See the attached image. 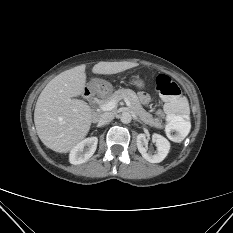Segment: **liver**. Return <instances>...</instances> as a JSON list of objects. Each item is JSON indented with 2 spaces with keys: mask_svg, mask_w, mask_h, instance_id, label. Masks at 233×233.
Here are the masks:
<instances>
[{
  "mask_svg": "<svg viewBox=\"0 0 233 233\" xmlns=\"http://www.w3.org/2000/svg\"><path fill=\"white\" fill-rule=\"evenodd\" d=\"M138 66L133 62H99L94 74L111 75ZM84 64L54 77L42 90L34 110V123L42 143L51 150L67 153L88 134L93 111L83 100L86 84Z\"/></svg>",
  "mask_w": 233,
  "mask_h": 233,
  "instance_id": "liver-1",
  "label": "liver"
}]
</instances>
